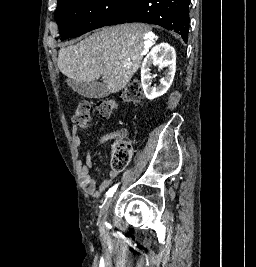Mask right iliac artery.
Here are the masks:
<instances>
[{
    "label": "right iliac artery",
    "instance_id": "obj_1",
    "mask_svg": "<svg viewBox=\"0 0 256 267\" xmlns=\"http://www.w3.org/2000/svg\"><path fill=\"white\" fill-rule=\"evenodd\" d=\"M117 187H118V184H116L115 186L111 187V188L108 190V192H106V200H107V198L113 196L114 192H116Z\"/></svg>",
    "mask_w": 256,
    "mask_h": 267
}]
</instances>
